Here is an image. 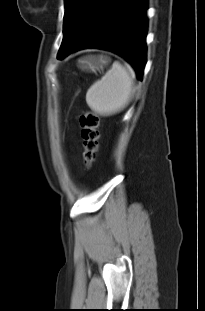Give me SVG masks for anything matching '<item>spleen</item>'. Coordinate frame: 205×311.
Instances as JSON below:
<instances>
[{
  "label": "spleen",
  "instance_id": "1",
  "mask_svg": "<svg viewBox=\"0 0 205 311\" xmlns=\"http://www.w3.org/2000/svg\"><path fill=\"white\" fill-rule=\"evenodd\" d=\"M133 86L132 70L115 61L105 75L88 89L86 102L96 114H114L129 103Z\"/></svg>",
  "mask_w": 205,
  "mask_h": 311
}]
</instances>
